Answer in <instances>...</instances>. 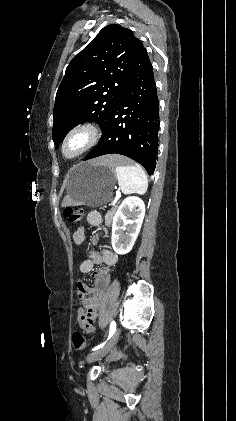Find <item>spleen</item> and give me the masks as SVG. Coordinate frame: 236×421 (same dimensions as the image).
<instances>
[{
	"instance_id": "1",
	"label": "spleen",
	"mask_w": 236,
	"mask_h": 421,
	"mask_svg": "<svg viewBox=\"0 0 236 421\" xmlns=\"http://www.w3.org/2000/svg\"><path fill=\"white\" fill-rule=\"evenodd\" d=\"M116 174L118 184L124 194H144L148 188V178L140 164H126V162H117Z\"/></svg>"
}]
</instances>
